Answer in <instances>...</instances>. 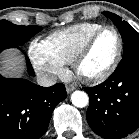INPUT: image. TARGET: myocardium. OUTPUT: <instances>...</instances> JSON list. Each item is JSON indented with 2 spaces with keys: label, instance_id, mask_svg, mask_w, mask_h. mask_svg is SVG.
<instances>
[{
  "label": "myocardium",
  "instance_id": "myocardium-1",
  "mask_svg": "<svg viewBox=\"0 0 139 139\" xmlns=\"http://www.w3.org/2000/svg\"><path fill=\"white\" fill-rule=\"evenodd\" d=\"M105 31H112L117 38L116 54L111 64L108 66V68L105 71L95 76H86L81 73L80 65L84 60V58L86 57V55L89 53L96 39ZM122 54H123V38L120 32L113 26H102L94 33H92L84 42V44L80 47V49L78 50V52L76 53L72 61V67L76 75L84 82L91 83V84H98L107 80L115 72V70L117 69L121 61Z\"/></svg>",
  "mask_w": 139,
  "mask_h": 139
}]
</instances>
